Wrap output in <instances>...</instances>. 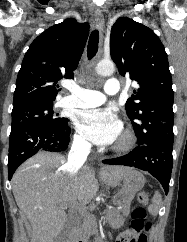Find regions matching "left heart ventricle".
I'll use <instances>...</instances> for the list:
<instances>
[{
  "label": "left heart ventricle",
  "instance_id": "b2bd125f",
  "mask_svg": "<svg viewBox=\"0 0 187 242\" xmlns=\"http://www.w3.org/2000/svg\"><path fill=\"white\" fill-rule=\"evenodd\" d=\"M122 139V133L120 134L119 138L117 139V143L120 142Z\"/></svg>",
  "mask_w": 187,
  "mask_h": 242
}]
</instances>
